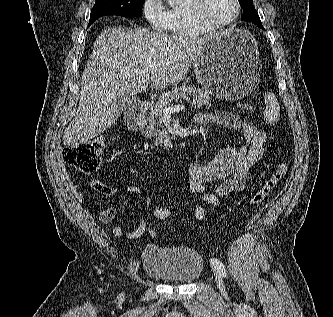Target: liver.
Returning a JSON list of instances; mask_svg holds the SVG:
<instances>
[{
    "label": "liver",
    "instance_id": "obj_1",
    "mask_svg": "<svg viewBox=\"0 0 333 317\" xmlns=\"http://www.w3.org/2000/svg\"><path fill=\"white\" fill-rule=\"evenodd\" d=\"M211 36L185 37L145 28L103 30L82 75L78 110L64 131V145L78 147L115 124L122 111L119 97L135 96L149 82L155 89L180 83Z\"/></svg>",
    "mask_w": 333,
    "mask_h": 317
}]
</instances>
